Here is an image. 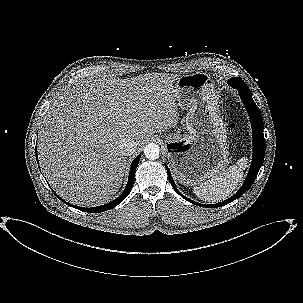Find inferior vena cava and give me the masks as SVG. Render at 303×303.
Returning a JSON list of instances; mask_svg holds the SVG:
<instances>
[{
    "instance_id": "602c4592",
    "label": "inferior vena cava",
    "mask_w": 303,
    "mask_h": 303,
    "mask_svg": "<svg viewBox=\"0 0 303 303\" xmlns=\"http://www.w3.org/2000/svg\"><path fill=\"white\" fill-rule=\"evenodd\" d=\"M136 146L137 144L133 139L126 138L122 140L120 149L125 155L129 156L135 152Z\"/></svg>"
}]
</instances>
